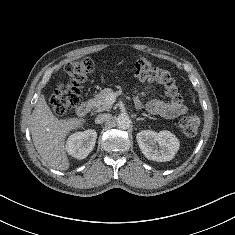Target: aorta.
I'll return each mask as SVG.
<instances>
[{
	"mask_svg": "<svg viewBox=\"0 0 235 235\" xmlns=\"http://www.w3.org/2000/svg\"><path fill=\"white\" fill-rule=\"evenodd\" d=\"M116 123H117L118 128L127 129L130 127L131 120L128 115L121 114L117 117Z\"/></svg>",
	"mask_w": 235,
	"mask_h": 235,
	"instance_id": "762f6f07",
	"label": "aorta"
}]
</instances>
